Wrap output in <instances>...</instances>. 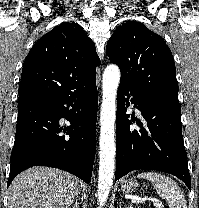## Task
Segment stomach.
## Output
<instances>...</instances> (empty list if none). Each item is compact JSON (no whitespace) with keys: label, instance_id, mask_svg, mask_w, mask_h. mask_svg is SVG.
Instances as JSON below:
<instances>
[{"label":"stomach","instance_id":"1","mask_svg":"<svg viewBox=\"0 0 199 208\" xmlns=\"http://www.w3.org/2000/svg\"><path fill=\"white\" fill-rule=\"evenodd\" d=\"M138 183L135 180H124L121 184V189L125 193H133L137 190Z\"/></svg>","mask_w":199,"mask_h":208}]
</instances>
